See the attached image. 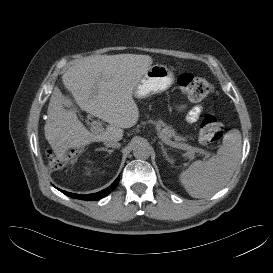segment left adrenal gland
Returning <instances> with one entry per match:
<instances>
[{"mask_svg": "<svg viewBox=\"0 0 273 273\" xmlns=\"http://www.w3.org/2000/svg\"><path fill=\"white\" fill-rule=\"evenodd\" d=\"M159 144L161 145V149L163 151V156L165 157V159L168 161V162H172V159L169 157V155L167 154V150L166 148L164 147L163 143L159 142Z\"/></svg>", "mask_w": 273, "mask_h": 273, "instance_id": "1", "label": "left adrenal gland"}]
</instances>
